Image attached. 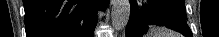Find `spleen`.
Returning a JSON list of instances; mask_svg holds the SVG:
<instances>
[{
    "label": "spleen",
    "mask_w": 219,
    "mask_h": 37,
    "mask_svg": "<svg viewBox=\"0 0 219 37\" xmlns=\"http://www.w3.org/2000/svg\"><path fill=\"white\" fill-rule=\"evenodd\" d=\"M150 37H180L179 34L172 33L166 29L162 28H152L150 32Z\"/></svg>",
    "instance_id": "1"
}]
</instances>
